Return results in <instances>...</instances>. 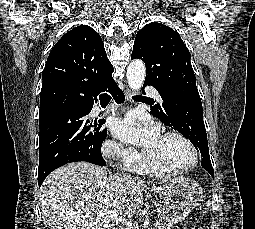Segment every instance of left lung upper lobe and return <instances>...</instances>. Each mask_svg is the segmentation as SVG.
Returning <instances> with one entry per match:
<instances>
[{"mask_svg": "<svg viewBox=\"0 0 255 229\" xmlns=\"http://www.w3.org/2000/svg\"><path fill=\"white\" fill-rule=\"evenodd\" d=\"M136 58L146 64L144 85L156 88L163 100L162 105L152 106L150 113L189 138L201 154L209 153L207 134L198 133L188 122L179 124L174 120L175 110L191 102H201L190 52L179 34L161 23L147 24L134 41L131 59Z\"/></svg>", "mask_w": 255, "mask_h": 229, "instance_id": "left-lung-upper-lobe-1", "label": "left lung upper lobe"}]
</instances>
